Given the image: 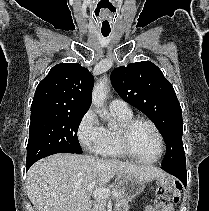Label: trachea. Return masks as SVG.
<instances>
[{
  "label": "trachea",
  "mask_w": 209,
  "mask_h": 211,
  "mask_svg": "<svg viewBox=\"0 0 209 211\" xmlns=\"http://www.w3.org/2000/svg\"><path fill=\"white\" fill-rule=\"evenodd\" d=\"M110 34V31H102V35L104 37H107Z\"/></svg>",
  "instance_id": "obj_1"
}]
</instances>
